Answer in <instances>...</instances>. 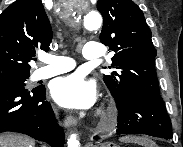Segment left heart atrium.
Segmentation results:
<instances>
[{
    "label": "left heart atrium",
    "mask_w": 183,
    "mask_h": 147,
    "mask_svg": "<svg viewBox=\"0 0 183 147\" xmlns=\"http://www.w3.org/2000/svg\"><path fill=\"white\" fill-rule=\"evenodd\" d=\"M50 92L55 102L67 108H88L96 99L94 83L77 73L54 80Z\"/></svg>",
    "instance_id": "left-heart-atrium-1"
}]
</instances>
